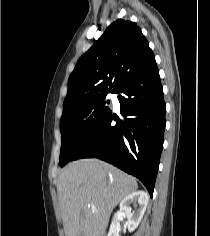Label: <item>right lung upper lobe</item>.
Here are the masks:
<instances>
[{"label":"right lung upper lobe","mask_w":210,"mask_h":236,"mask_svg":"<svg viewBox=\"0 0 210 236\" xmlns=\"http://www.w3.org/2000/svg\"><path fill=\"white\" fill-rule=\"evenodd\" d=\"M154 65V54L136 23L115 21L78 60L68 80L63 113L85 100L115 92Z\"/></svg>","instance_id":"obj_1"}]
</instances>
